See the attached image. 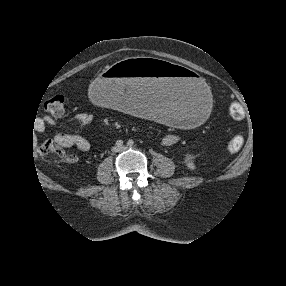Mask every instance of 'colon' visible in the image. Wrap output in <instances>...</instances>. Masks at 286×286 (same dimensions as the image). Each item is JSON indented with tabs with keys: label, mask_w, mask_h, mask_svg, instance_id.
Here are the masks:
<instances>
[{
	"label": "colon",
	"mask_w": 286,
	"mask_h": 286,
	"mask_svg": "<svg viewBox=\"0 0 286 286\" xmlns=\"http://www.w3.org/2000/svg\"><path fill=\"white\" fill-rule=\"evenodd\" d=\"M65 98L58 94L52 96L45 102V109L53 116H60L64 111ZM229 115L234 120H242L245 116L243 107L236 102L229 105ZM244 139L240 135H234L227 143V148L230 152H239L243 146ZM38 152L41 156L54 162H59L65 158L63 149L54 141H45L38 147Z\"/></svg>",
	"instance_id": "colon-1"
}]
</instances>
